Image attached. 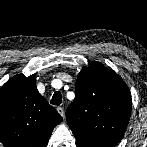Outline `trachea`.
Returning a JSON list of instances; mask_svg holds the SVG:
<instances>
[{
  "label": "trachea",
  "instance_id": "1",
  "mask_svg": "<svg viewBox=\"0 0 147 147\" xmlns=\"http://www.w3.org/2000/svg\"><path fill=\"white\" fill-rule=\"evenodd\" d=\"M50 103L53 105H60L62 103V95L59 91H56L53 94V97H52Z\"/></svg>",
  "mask_w": 147,
  "mask_h": 147
}]
</instances>
